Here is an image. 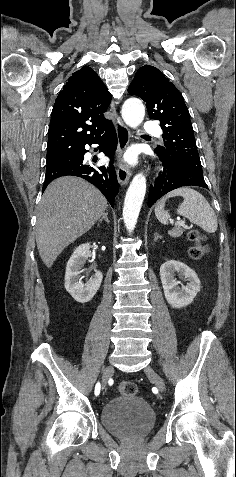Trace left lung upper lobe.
Masks as SVG:
<instances>
[{"label":"left lung upper lobe","instance_id":"left-lung-upper-lobe-1","mask_svg":"<svg viewBox=\"0 0 236 477\" xmlns=\"http://www.w3.org/2000/svg\"><path fill=\"white\" fill-rule=\"evenodd\" d=\"M128 92L143 99L149 117L160 121L164 146H157L155 152L203 175L189 111L173 83L157 68L145 65L138 69Z\"/></svg>","mask_w":236,"mask_h":477}]
</instances>
